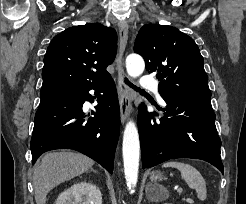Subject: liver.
<instances>
[{"instance_id":"liver-1","label":"liver","mask_w":246,"mask_h":204,"mask_svg":"<svg viewBox=\"0 0 246 204\" xmlns=\"http://www.w3.org/2000/svg\"><path fill=\"white\" fill-rule=\"evenodd\" d=\"M89 157L71 151L45 154L35 166L33 185L36 204H46L47 194L60 183L78 176L92 167Z\"/></svg>"}]
</instances>
